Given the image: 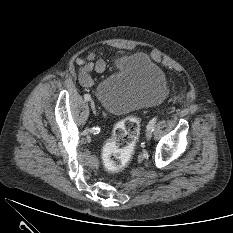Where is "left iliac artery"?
Instances as JSON below:
<instances>
[{"label":"left iliac artery","mask_w":233,"mask_h":233,"mask_svg":"<svg viewBox=\"0 0 233 233\" xmlns=\"http://www.w3.org/2000/svg\"><path fill=\"white\" fill-rule=\"evenodd\" d=\"M156 122H157V118H156V117H154L153 119H151V120L149 121L148 125H147V129L153 131V130H154V127H155V125H156Z\"/></svg>","instance_id":"1"}]
</instances>
